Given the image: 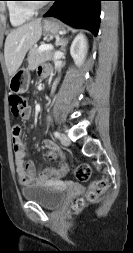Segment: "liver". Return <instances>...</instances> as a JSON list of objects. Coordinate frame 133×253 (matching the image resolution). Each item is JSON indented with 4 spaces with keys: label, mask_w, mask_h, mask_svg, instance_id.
<instances>
[{
    "label": "liver",
    "mask_w": 133,
    "mask_h": 253,
    "mask_svg": "<svg viewBox=\"0 0 133 253\" xmlns=\"http://www.w3.org/2000/svg\"><path fill=\"white\" fill-rule=\"evenodd\" d=\"M41 19L33 20L12 30L5 41V64L10 76L21 66L27 51L41 38Z\"/></svg>",
    "instance_id": "6515ba94"
}]
</instances>
